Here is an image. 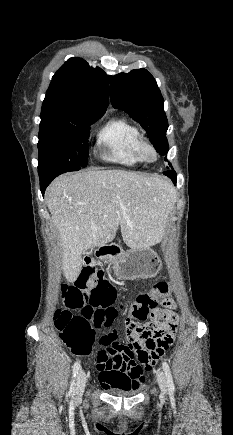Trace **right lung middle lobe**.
Listing matches in <instances>:
<instances>
[{
    "label": "right lung middle lobe",
    "instance_id": "1",
    "mask_svg": "<svg viewBox=\"0 0 233 435\" xmlns=\"http://www.w3.org/2000/svg\"><path fill=\"white\" fill-rule=\"evenodd\" d=\"M101 116L41 119L39 126V175L80 170L88 164L90 125Z\"/></svg>",
    "mask_w": 233,
    "mask_h": 435
}]
</instances>
